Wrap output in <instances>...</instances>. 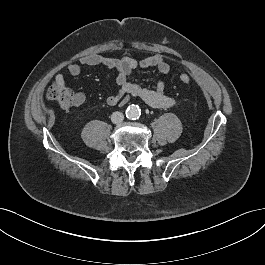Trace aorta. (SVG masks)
Listing matches in <instances>:
<instances>
[{"mask_svg": "<svg viewBox=\"0 0 265 265\" xmlns=\"http://www.w3.org/2000/svg\"><path fill=\"white\" fill-rule=\"evenodd\" d=\"M141 115V110L137 105H130L126 110V116L130 119H137Z\"/></svg>", "mask_w": 265, "mask_h": 265, "instance_id": "obj_1", "label": "aorta"}]
</instances>
